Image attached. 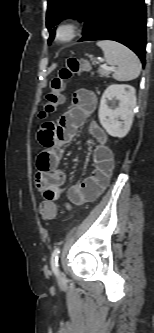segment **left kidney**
<instances>
[{
	"mask_svg": "<svg viewBox=\"0 0 154 333\" xmlns=\"http://www.w3.org/2000/svg\"><path fill=\"white\" fill-rule=\"evenodd\" d=\"M113 99L118 100V105L113 102ZM135 107L134 87L112 84L104 91L100 101V123L109 135L123 138L131 129Z\"/></svg>",
	"mask_w": 154,
	"mask_h": 333,
	"instance_id": "left-kidney-1",
	"label": "left kidney"
}]
</instances>
